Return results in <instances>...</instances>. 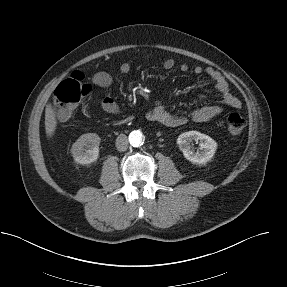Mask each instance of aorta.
Returning a JSON list of instances; mask_svg holds the SVG:
<instances>
[{
	"instance_id": "762f6f07",
	"label": "aorta",
	"mask_w": 287,
	"mask_h": 287,
	"mask_svg": "<svg viewBox=\"0 0 287 287\" xmlns=\"http://www.w3.org/2000/svg\"><path fill=\"white\" fill-rule=\"evenodd\" d=\"M130 144L133 146H139L142 144L143 135L140 131H133L129 135Z\"/></svg>"
}]
</instances>
